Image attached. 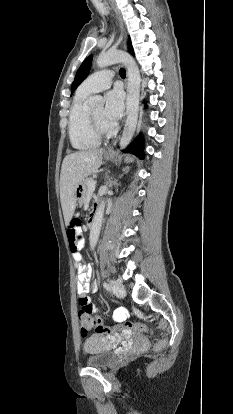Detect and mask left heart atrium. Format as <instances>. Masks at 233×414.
I'll return each mask as SVG.
<instances>
[{
	"mask_svg": "<svg viewBox=\"0 0 233 414\" xmlns=\"http://www.w3.org/2000/svg\"><path fill=\"white\" fill-rule=\"evenodd\" d=\"M124 111V95L123 92L116 88L110 90L105 97L104 117L106 121L115 125L121 118Z\"/></svg>",
	"mask_w": 233,
	"mask_h": 414,
	"instance_id": "39dd6f15",
	"label": "left heart atrium"
}]
</instances>
